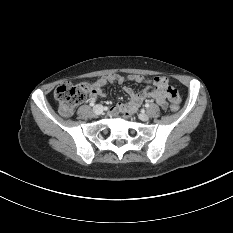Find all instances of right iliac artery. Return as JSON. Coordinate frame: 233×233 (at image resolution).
<instances>
[{
	"instance_id": "82829eb1",
	"label": "right iliac artery",
	"mask_w": 233,
	"mask_h": 233,
	"mask_svg": "<svg viewBox=\"0 0 233 233\" xmlns=\"http://www.w3.org/2000/svg\"><path fill=\"white\" fill-rule=\"evenodd\" d=\"M95 102L94 101H91L90 102V106H94Z\"/></svg>"
}]
</instances>
